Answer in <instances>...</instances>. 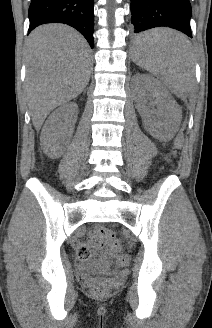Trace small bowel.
Wrapping results in <instances>:
<instances>
[{"instance_id": "c3829d8e", "label": "small bowel", "mask_w": 212, "mask_h": 328, "mask_svg": "<svg viewBox=\"0 0 212 328\" xmlns=\"http://www.w3.org/2000/svg\"><path fill=\"white\" fill-rule=\"evenodd\" d=\"M79 251H84L87 257L95 251L99 253L103 259L110 260L114 257L117 250L111 248L110 246L109 248L105 247L104 244L99 241L97 231H94L91 235V242L86 246H82Z\"/></svg>"}]
</instances>
